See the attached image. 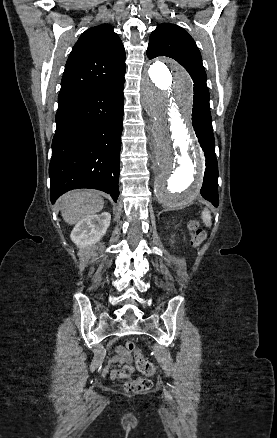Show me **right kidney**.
I'll use <instances>...</instances> for the list:
<instances>
[{"mask_svg":"<svg viewBox=\"0 0 277 438\" xmlns=\"http://www.w3.org/2000/svg\"><path fill=\"white\" fill-rule=\"evenodd\" d=\"M111 222V214L102 212V214H92L86 216L76 224L70 234V238L78 248H87L91 244L99 242L107 232Z\"/></svg>","mask_w":277,"mask_h":438,"instance_id":"obj_1","label":"right kidney"}]
</instances>
